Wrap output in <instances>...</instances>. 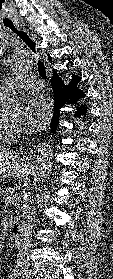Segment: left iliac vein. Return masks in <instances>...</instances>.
Listing matches in <instances>:
<instances>
[{"mask_svg": "<svg viewBox=\"0 0 113 279\" xmlns=\"http://www.w3.org/2000/svg\"><path fill=\"white\" fill-rule=\"evenodd\" d=\"M26 276L24 277V279H32L31 277V272H28L25 274Z\"/></svg>", "mask_w": 113, "mask_h": 279, "instance_id": "obj_1", "label": "left iliac vein"}]
</instances>
